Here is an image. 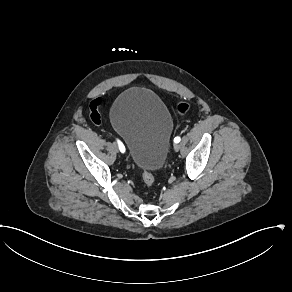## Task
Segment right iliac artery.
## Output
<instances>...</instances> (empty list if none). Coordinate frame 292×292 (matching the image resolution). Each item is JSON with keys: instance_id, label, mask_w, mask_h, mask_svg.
<instances>
[{"instance_id": "82829eb1", "label": "right iliac artery", "mask_w": 292, "mask_h": 292, "mask_svg": "<svg viewBox=\"0 0 292 292\" xmlns=\"http://www.w3.org/2000/svg\"><path fill=\"white\" fill-rule=\"evenodd\" d=\"M117 143H118L120 151L122 153H124L125 152V146L123 145V143L120 140H117Z\"/></svg>"}]
</instances>
